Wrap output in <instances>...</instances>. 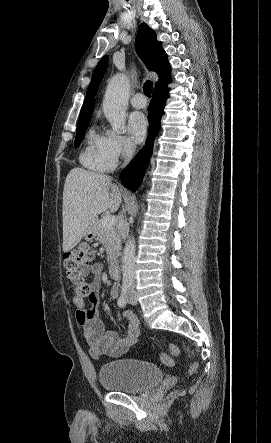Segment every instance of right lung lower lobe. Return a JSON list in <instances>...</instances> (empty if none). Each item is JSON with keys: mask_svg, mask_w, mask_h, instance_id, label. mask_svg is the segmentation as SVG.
I'll use <instances>...</instances> for the list:
<instances>
[{"mask_svg": "<svg viewBox=\"0 0 271 443\" xmlns=\"http://www.w3.org/2000/svg\"><path fill=\"white\" fill-rule=\"evenodd\" d=\"M168 83L158 85L154 90L148 110L150 132L146 147L134 157L121 173L122 183L131 191L137 190L147 169L148 161L152 154L153 140L160 129V119L164 113L163 109L168 98V88L166 87Z\"/></svg>", "mask_w": 271, "mask_h": 443, "instance_id": "obj_1", "label": "right lung lower lobe"}]
</instances>
